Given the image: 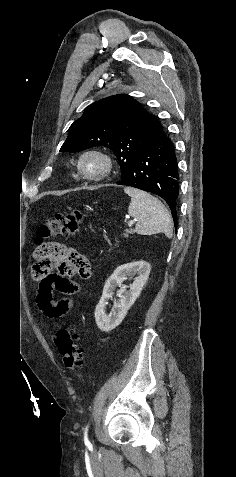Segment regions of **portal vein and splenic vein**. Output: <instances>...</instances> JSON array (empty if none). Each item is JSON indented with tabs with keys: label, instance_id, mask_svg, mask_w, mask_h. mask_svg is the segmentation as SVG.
<instances>
[{
	"label": "portal vein and splenic vein",
	"instance_id": "1",
	"mask_svg": "<svg viewBox=\"0 0 236 477\" xmlns=\"http://www.w3.org/2000/svg\"><path fill=\"white\" fill-rule=\"evenodd\" d=\"M134 222H135V220H131V221L128 222V225L132 226L134 224Z\"/></svg>",
	"mask_w": 236,
	"mask_h": 477
}]
</instances>
